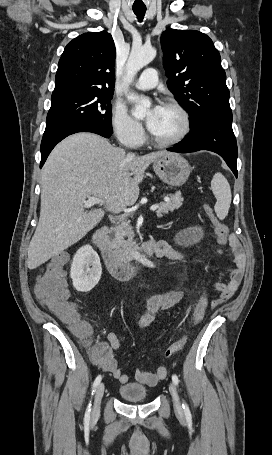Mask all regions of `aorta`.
I'll list each match as a JSON object with an SVG mask.
<instances>
[{
  "instance_id": "obj_1",
  "label": "aorta",
  "mask_w": 272,
  "mask_h": 455,
  "mask_svg": "<svg viewBox=\"0 0 272 455\" xmlns=\"http://www.w3.org/2000/svg\"><path fill=\"white\" fill-rule=\"evenodd\" d=\"M155 56L156 49L151 46L133 48L126 64L125 80L129 83L132 82L136 73L149 64ZM127 99L136 103L132 111V115L136 119H144L148 113V108L151 106L150 100L144 97H139L134 93H129L127 95Z\"/></svg>"
}]
</instances>
